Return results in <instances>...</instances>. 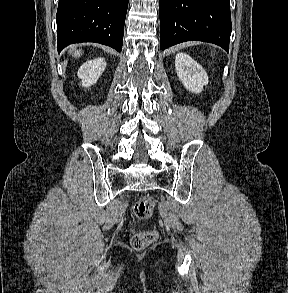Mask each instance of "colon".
<instances>
[{
  "mask_svg": "<svg viewBox=\"0 0 288 293\" xmlns=\"http://www.w3.org/2000/svg\"><path fill=\"white\" fill-rule=\"evenodd\" d=\"M154 200L150 196L140 198L134 205V215L137 219L149 218L154 210ZM157 238L155 231H136L131 238V244L134 249H145Z\"/></svg>",
  "mask_w": 288,
  "mask_h": 293,
  "instance_id": "1",
  "label": "colon"
}]
</instances>
